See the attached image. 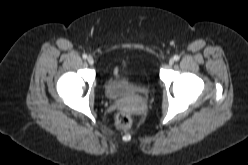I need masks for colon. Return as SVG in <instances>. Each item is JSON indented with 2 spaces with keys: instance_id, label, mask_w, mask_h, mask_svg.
I'll use <instances>...</instances> for the list:
<instances>
[{
  "instance_id": "colon-1",
  "label": "colon",
  "mask_w": 248,
  "mask_h": 165,
  "mask_svg": "<svg viewBox=\"0 0 248 165\" xmlns=\"http://www.w3.org/2000/svg\"><path fill=\"white\" fill-rule=\"evenodd\" d=\"M132 123L131 116L126 112H120L115 118V125L120 130H125L130 127Z\"/></svg>"
}]
</instances>
